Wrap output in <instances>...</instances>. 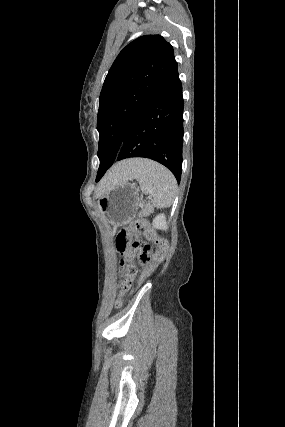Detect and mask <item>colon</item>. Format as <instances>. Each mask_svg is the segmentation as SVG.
<instances>
[{
  "mask_svg": "<svg viewBox=\"0 0 285 427\" xmlns=\"http://www.w3.org/2000/svg\"><path fill=\"white\" fill-rule=\"evenodd\" d=\"M129 231L134 235L131 250L139 255V264L131 263L125 268V278L120 284V297L116 300V306L121 305V297L129 290L133 277L141 270L143 280L151 274L157 266L164 262L168 251V243L148 226L146 220L136 219L129 224ZM116 249L124 254L129 248V239L125 234L119 235L115 241ZM151 245L155 250L151 252Z\"/></svg>",
  "mask_w": 285,
  "mask_h": 427,
  "instance_id": "1",
  "label": "colon"
}]
</instances>
